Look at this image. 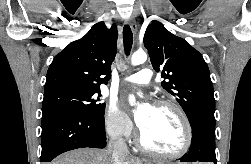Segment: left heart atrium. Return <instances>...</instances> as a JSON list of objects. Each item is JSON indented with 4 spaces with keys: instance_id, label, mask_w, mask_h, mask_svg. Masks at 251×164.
Masks as SVG:
<instances>
[{
    "instance_id": "obj_1",
    "label": "left heart atrium",
    "mask_w": 251,
    "mask_h": 164,
    "mask_svg": "<svg viewBox=\"0 0 251 164\" xmlns=\"http://www.w3.org/2000/svg\"><path fill=\"white\" fill-rule=\"evenodd\" d=\"M152 109H153L152 106H148L147 110L145 111V113L140 114L138 116V118H137V125H138V127H139L140 130H142L145 127V125H146V123L148 121L149 114H150V112H151Z\"/></svg>"
}]
</instances>
